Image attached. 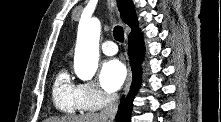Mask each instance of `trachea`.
<instances>
[{
    "mask_svg": "<svg viewBox=\"0 0 221 122\" xmlns=\"http://www.w3.org/2000/svg\"><path fill=\"white\" fill-rule=\"evenodd\" d=\"M113 35H114L115 40H117L119 42H123L124 41L123 27L115 26L114 30H113Z\"/></svg>",
    "mask_w": 221,
    "mask_h": 122,
    "instance_id": "1",
    "label": "trachea"
}]
</instances>
